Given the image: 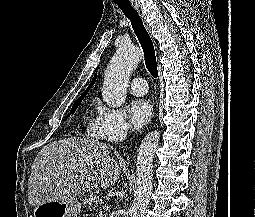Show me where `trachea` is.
<instances>
[{
  "instance_id": "3493384b",
  "label": "trachea",
  "mask_w": 255,
  "mask_h": 217,
  "mask_svg": "<svg viewBox=\"0 0 255 217\" xmlns=\"http://www.w3.org/2000/svg\"><path fill=\"white\" fill-rule=\"evenodd\" d=\"M118 7L123 11L124 15L130 20L132 28L141 44L144 52L145 64L154 77H158L157 62L155 56V50L152 40L143 24V21L137 11L132 7L130 3L117 4Z\"/></svg>"
}]
</instances>
